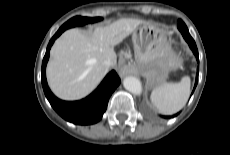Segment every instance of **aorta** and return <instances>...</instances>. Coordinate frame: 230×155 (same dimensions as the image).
<instances>
[{
    "label": "aorta",
    "mask_w": 230,
    "mask_h": 155,
    "mask_svg": "<svg viewBox=\"0 0 230 155\" xmlns=\"http://www.w3.org/2000/svg\"><path fill=\"white\" fill-rule=\"evenodd\" d=\"M123 86L126 90L135 95H141L142 84L140 80L134 76H127L123 80Z\"/></svg>",
    "instance_id": "1"
}]
</instances>
